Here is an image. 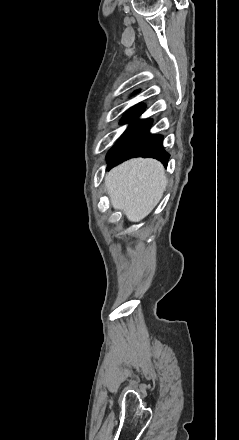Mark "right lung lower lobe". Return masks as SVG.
Listing matches in <instances>:
<instances>
[{
    "mask_svg": "<svg viewBox=\"0 0 239 440\" xmlns=\"http://www.w3.org/2000/svg\"><path fill=\"white\" fill-rule=\"evenodd\" d=\"M144 109V105H137L128 110L120 120V124H131L109 151L108 170L129 158L139 156L156 158L167 165L170 155L163 149V136L149 133L152 120H136Z\"/></svg>",
    "mask_w": 239,
    "mask_h": 440,
    "instance_id": "1",
    "label": "right lung lower lobe"
}]
</instances>
